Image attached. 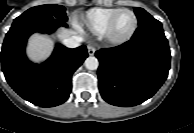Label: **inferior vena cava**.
Returning <instances> with one entry per match:
<instances>
[{
  "label": "inferior vena cava",
  "mask_w": 194,
  "mask_h": 133,
  "mask_svg": "<svg viewBox=\"0 0 194 133\" xmlns=\"http://www.w3.org/2000/svg\"><path fill=\"white\" fill-rule=\"evenodd\" d=\"M82 41H83V38L81 36L72 35L71 37L64 38L63 44L68 48H76L80 45Z\"/></svg>",
  "instance_id": "inferior-vena-cava-1"
}]
</instances>
